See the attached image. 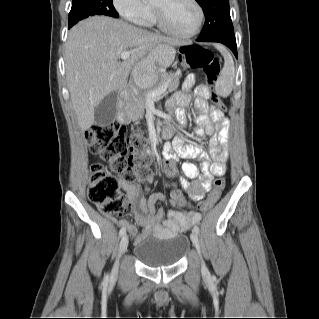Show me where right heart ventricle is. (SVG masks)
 Wrapping results in <instances>:
<instances>
[{"label":"right heart ventricle","instance_id":"1","mask_svg":"<svg viewBox=\"0 0 319 319\" xmlns=\"http://www.w3.org/2000/svg\"><path fill=\"white\" fill-rule=\"evenodd\" d=\"M156 19L154 16L153 8L152 6H148V13L145 18V25H153L155 23Z\"/></svg>","mask_w":319,"mask_h":319}]
</instances>
